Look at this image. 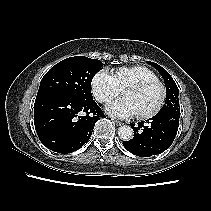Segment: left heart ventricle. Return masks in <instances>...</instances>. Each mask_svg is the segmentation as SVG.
<instances>
[{
	"mask_svg": "<svg viewBox=\"0 0 211 211\" xmlns=\"http://www.w3.org/2000/svg\"><path fill=\"white\" fill-rule=\"evenodd\" d=\"M161 96L160 88L157 85L138 91L126 89L123 97L129 99L135 106L137 114L151 111L158 103Z\"/></svg>",
	"mask_w": 211,
	"mask_h": 211,
	"instance_id": "b2bd125f",
	"label": "left heart ventricle"
}]
</instances>
